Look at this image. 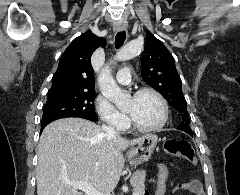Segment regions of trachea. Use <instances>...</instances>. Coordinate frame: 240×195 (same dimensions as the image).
I'll return each instance as SVG.
<instances>
[{
	"mask_svg": "<svg viewBox=\"0 0 240 195\" xmlns=\"http://www.w3.org/2000/svg\"><path fill=\"white\" fill-rule=\"evenodd\" d=\"M125 39H126L125 31H121V32L117 33L116 37H115V48L119 49L124 44Z\"/></svg>",
	"mask_w": 240,
	"mask_h": 195,
	"instance_id": "1",
	"label": "trachea"
}]
</instances>
